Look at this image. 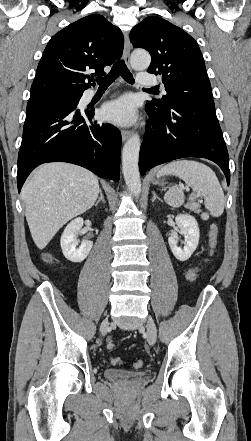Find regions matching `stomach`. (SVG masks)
<instances>
[{
	"instance_id": "obj_1",
	"label": "stomach",
	"mask_w": 251,
	"mask_h": 441,
	"mask_svg": "<svg viewBox=\"0 0 251 441\" xmlns=\"http://www.w3.org/2000/svg\"><path fill=\"white\" fill-rule=\"evenodd\" d=\"M151 181H152L154 184H159V183H160L159 177L155 178L154 176H151Z\"/></svg>"
}]
</instances>
